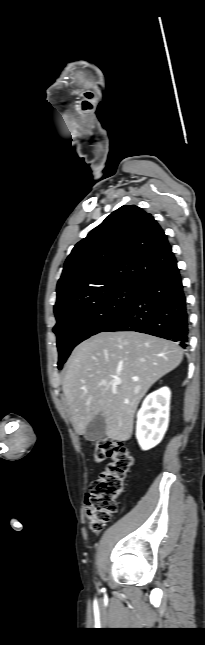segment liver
Listing matches in <instances>:
<instances>
[{
    "mask_svg": "<svg viewBox=\"0 0 205 645\" xmlns=\"http://www.w3.org/2000/svg\"><path fill=\"white\" fill-rule=\"evenodd\" d=\"M182 359L176 343L132 331L101 332L80 343L68 359L62 386L76 433L83 435L100 415L108 438L130 439L140 400Z\"/></svg>",
    "mask_w": 205,
    "mask_h": 645,
    "instance_id": "obj_1",
    "label": "liver"
}]
</instances>
